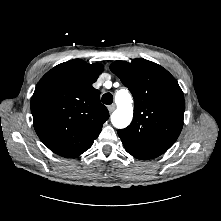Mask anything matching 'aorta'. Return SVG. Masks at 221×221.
<instances>
[{
	"mask_svg": "<svg viewBox=\"0 0 221 221\" xmlns=\"http://www.w3.org/2000/svg\"><path fill=\"white\" fill-rule=\"evenodd\" d=\"M117 109L111 115L114 127L123 129L127 127L133 118L132 98L128 90H120L115 95Z\"/></svg>",
	"mask_w": 221,
	"mask_h": 221,
	"instance_id": "762f6f07",
	"label": "aorta"
}]
</instances>
